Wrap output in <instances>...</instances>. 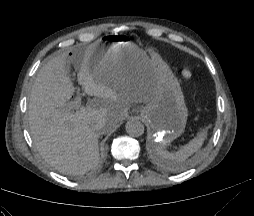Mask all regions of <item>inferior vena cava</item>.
Wrapping results in <instances>:
<instances>
[{
    "instance_id": "1",
    "label": "inferior vena cava",
    "mask_w": 254,
    "mask_h": 216,
    "mask_svg": "<svg viewBox=\"0 0 254 216\" xmlns=\"http://www.w3.org/2000/svg\"><path fill=\"white\" fill-rule=\"evenodd\" d=\"M104 126V121H98L95 125H94V129L97 131H100L102 129V127Z\"/></svg>"
}]
</instances>
